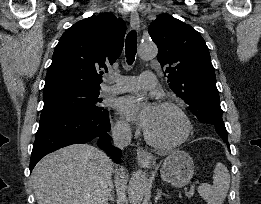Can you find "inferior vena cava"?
Here are the masks:
<instances>
[{
	"label": "inferior vena cava",
	"instance_id": "obj_1",
	"mask_svg": "<svg viewBox=\"0 0 261 204\" xmlns=\"http://www.w3.org/2000/svg\"><path fill=\"white\" fill-rule=\"evenodd\" d=\"M114 144L119 148L127 147L131 142V131L127 126L116 127L112 130Z\"/></svg>",
	"mask_w": 261,
	"mask_h": 204
}]
</instances>
